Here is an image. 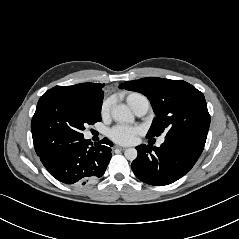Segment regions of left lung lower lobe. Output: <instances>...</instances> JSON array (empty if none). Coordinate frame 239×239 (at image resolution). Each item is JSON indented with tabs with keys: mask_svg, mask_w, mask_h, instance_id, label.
<instances>
[{
	"mask_svg": "<svg viewBox=\"0 0 239 239\" xmlns=\"http://www.w3.org/2000/svg\"><path fill=\"white\" fill-rule=\"evenodd\" d=\"M204 143L176 136H166L160 147L140 145L131 167L138 179L164 186L184 176L200 157Z\"/></svg>",
	"mask_w": 239,
	"mask_h": 239,
	"instance_id": "0a47b994",
	"label": "left lung lower lobe"
}]
</instances>
